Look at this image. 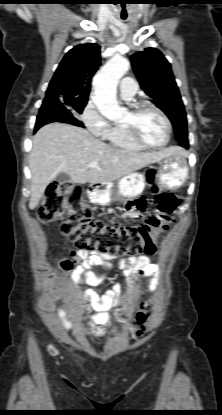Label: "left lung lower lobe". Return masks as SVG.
Wrapping results in <instances>:
<instances>
[{"label":"left lung lower lobe","mask_w":222,"mask_h":415,"mask_svg":"<svg viewBox=\"0 0 222 415\" xmlns=\"http://www.w3.org/2000/svg\"><path fill=\"white\" fill-rule=\"evenodd\" d=\"M178 144H179L180 146H182V147L186 148V149H188V148H189V144H188V142H178Z\"/></svg>","instance_id":"obj_1"}]
</instances>
